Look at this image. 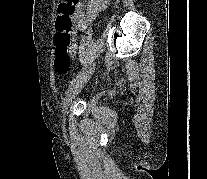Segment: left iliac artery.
<instances>
[{
	"mask_svg": "<svg viewBox=\"0 0 207 179\" xmlns=\"http://www.w3.org/2000/svg\"><path fill=\"white\" fill-rule=\"evenodd\" d=\"M86 68H83L81 71L78 72V74L70 81L69 88H71L75 82L81 78V76L84 74Z\"/></svg>",
	"mask_w": 207,
	"mask_h": 179,
	"instance_id": "obj_1",
	"label": "left iliac artery"
}]
</instances>
